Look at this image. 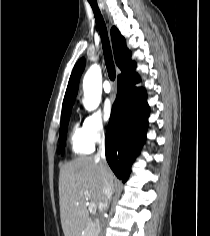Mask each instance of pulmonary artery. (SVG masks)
<instances>
[{"mask_svg": "<svg viewBox=\"0 0 210 236\" xmlns=\"http://www.w3.org/2000/svg\"><path fill=\"white\" fill-rule=\"evenodd\" d=\"M103 89L106 93L112 92V87L108 81L103 84Z\"/></svg>", "mask_w": 210, "mask_h": 236, "instance_id": "1", "label": "pulmonary artery"}]
</instances>
